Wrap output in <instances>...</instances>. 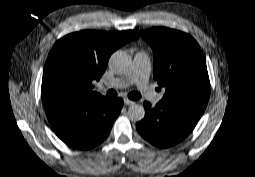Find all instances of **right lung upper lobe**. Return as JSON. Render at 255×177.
Segmentation results:
<instances>
[{"instance_id": "1", "label": "right lung upper lobe", "mask_w": 255, "mask_h": 177, "mask_svg": "<svg viewBox=\"0 0 255 177\" xmlns=\"http://www.w3.org/2000/svg\"><path fill=\"white\" fill-rule=\"evenodd\" d=\"M138 36L133 30H85L58 40L51 49L44 67L41 87L44 105L55 103V92L65 86L72 87L75 100L98 95L92 90V80L100 79L110 55L116 49Z\"/></svg>"}]
</instances>
